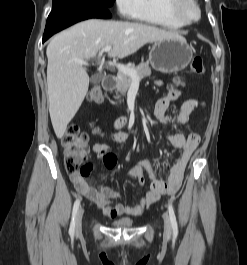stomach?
I'll use <instances>...</instances> for the list:
<instances>
[{"label": "stomach", "mask_w": 247, "mask_h": 265, "mask_svg": "<svg viewBox=\"0 0 247 265\" xmlns=\"http://www.w3.org/2000/svg\"><path fill=\"white\" fill-rule=\"evenodd\" d=\"M192 57L191 47L180 36L155 42L149 53V62L156 71L176 73L186 68Z\"/></svg>", "instance_id": "0dacf381"}]
</instances>
